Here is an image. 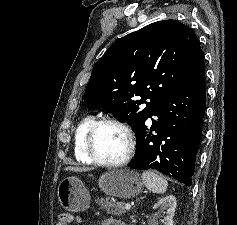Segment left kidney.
<instances>
[{"instance_id": "obj_1", "label": "left kidney", "mask_w": 237, "mask_h": 225, "mask_svg": "<svg viewBox=\"0 0 237 225\" xmlns=\"http://www.w3.org/2000/svg\"><path fill=\"white\" fill-rule=\"evenodd\" d=\"M155 208H159L160 211L167 210V216L164 218L165 225H173V216L176 209V198L173 195H168L160 199L154 205Z\"/></svg>"}]
</instances>
